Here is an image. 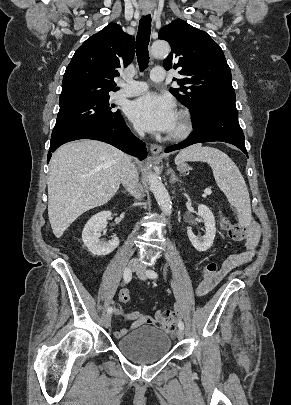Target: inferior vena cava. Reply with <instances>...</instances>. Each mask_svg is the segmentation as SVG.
I'll list each match as a JSON object with an SVG mask.
<instances>
[{
	"label": "inferior vena cava",
	"instance_id": "602c4592",
	"mask_svg": "<svg viewBox=\"0 0 291 405\" xmlns=\"http://www.w3.org/2000/svg\"><path fill=\"white\" fill-rule=\"evenodd\" d=\"M138 134L141 137L144 136V132L142 131H138ZM120 180L126 190L136 199L143 196L142 190L139 188V175L137 168L131 162V158L129 156H125L122 161Z\"/></svg>",
	"mask_w": 291,
	"mask_h": 405
}]
</instances>
